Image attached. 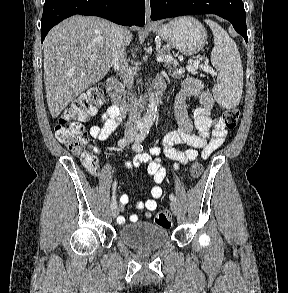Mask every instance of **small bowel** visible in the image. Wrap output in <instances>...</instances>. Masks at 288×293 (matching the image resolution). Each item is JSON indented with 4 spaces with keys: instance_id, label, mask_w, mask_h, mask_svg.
Here are the masks:
<instances>
[{
    "instance_id": "c3829d8e",
    "label": "small bowel",
    "mask_w": 288,
    "mask_h": 293,
    "mask_svg": "<svg viewBox=\"0 0 288 293\" xmlns=\"http://www.w3.org/2000/svg\"><path fill=\"white\" fill-rule=\"evenodd\" d=\"M197 98L200 106L196 108L190 117L187 110V101ZM214 99L209 90L204 88L201 80L197 78H186L181 82V90L175 99V116L178 128L165 135L162 141V148L153 147L150 153L137 155L133 160H124L126 169L139 168L146 165L148 174L152 177L154 185L150 193L151 198L145 201H137L136 208L145 217L157 209V200L163 195L161 184L166 178V169L161 165L159 159H152V155L163 152L164 155L175 162V169L179 165H185L198 156L207 159L216 151L227 137V129L223 120L216 118L213 113ZM121 112L115 106H110L101 116V124L90 128V135L93 139L106 142L119 125L121 124ZM177 145H187L184 151L178 150ZM97 151V149H95ZM121 209L128 204L129 197L122 194L119 199ZM139 214L133 213L129 216L130 222H137ZM119 224L126 222L125 217L119 216Z\"/></svg>"
}]
</instances>
